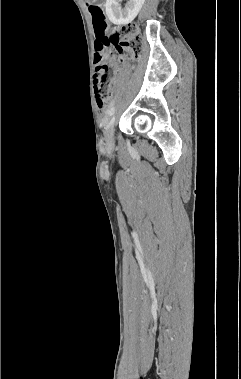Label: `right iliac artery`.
Returning <instances> with one entry per match:
<instances>
[{"label": "right iliac artery", "mask_w": 241, "mask_h": 379, "mask_svg": "<svg viewBox=\"0 0 241 379\" xmlns=\"http://www.w3.org/2000/svg\"><path fill=\"white\" fill-rule=\"evenodd\" d=\"M114 110H115V108H114V107H112V108L109 110V116L113 115V113H114Z\"/></svg>", "instance_id": "82829eb1"}]
</instances>
